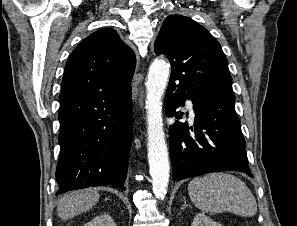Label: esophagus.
<instances>
[{
    "instance_id": "1",
    "label": "esophagus",
    "mask_w": 297,
    "mask_h": 226,
    "mask_svg": "<svg viewBox=\"0 0 297 226\" xmlns=\"http://www.w3.org/2000/svg\"><path fill=\"white\" fill-rule=\"evenodd\" d=\"M139 104H140V107L143 106V99H142V96H141V98L139 99Z\"/></svg>"
}]
</instances>
